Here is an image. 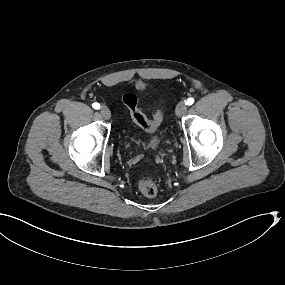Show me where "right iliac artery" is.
Masks as SVG:
<instances>
[{
	"instance_id": "82829eb1",
	"label": "right iliac artery",
	"mask_w": 285,
	"mask_h": 285,
	"mask_svg": "<svg viewBox=\"0 0 285 285\" xmlns=\"http://www.w3.org/2000/svg\"><path fill=\"white\" fill-rule=\"evenodd\" d=\"M92 107H93L94 109H99V108H100V104L97 103V102H95V103L92 104Z\"/></svg>"
}]
</instances>
